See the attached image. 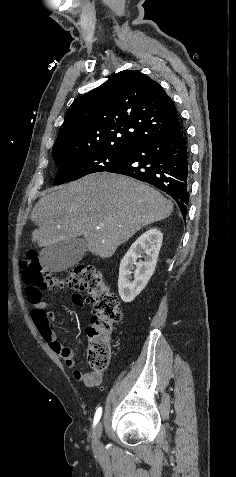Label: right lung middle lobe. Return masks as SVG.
<instances>
[{
    "label": "right lung middle lobe",
    "mask_w": 236,
    "mask_h": 477,
    "mask_svg": "<svg viewBox=\"0 0 236 477\" xmlns=\"http://www.w3.org/2000/svg\"><path fill=\"white\" fill-rule=\"evenodd\" d=\"M59 168L53 185L75 181L97 172H108L127 161V153L87 150L74 155L53 157Z\"/></svg>",
    "instance_id": "dd1d6c3e"
}]
</instances>
